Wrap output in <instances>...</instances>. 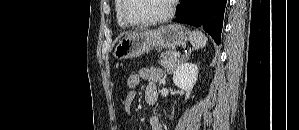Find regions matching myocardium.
<instances>
[{
    "label": "myocardium",
    "mask_w": 299,
    "mask_h": 130,
    "mask_svg": "<svg viewBox=\"0 0 299 130\" xmlns=\"http://www.w3.org/2000/svg\"><path fill=\"white\" fill-rule=\"evenodd\" d=\"M128 3L129 0H122V8H121L122 19L131 26L147 27V26H152V25H156L168 21L174 14L175 5L177 1L175 0L170 1L168 10L163 15L149 20H143V21L134 20L127 14Z\"/></svg>",
    "instance_id": "1"
}]
</instances>
